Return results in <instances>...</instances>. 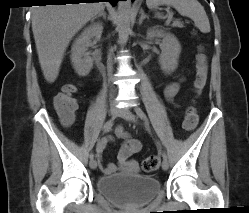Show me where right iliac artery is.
<instances>
[{
    "instance_id": "right-iliac-artery-1",
    "label": "right iliac artery",
    "mask_w": 249,
    "mask_h": 213,
    "mask_svg": "<svg viewBox=\"0 0 249 213\" xmlns=\"http://www.w3.org/2000/svg\"><path fill=\"white\" fill-rule=\"evenodd\" d=\"M114 124V119H110L108 120L105 124H104V127H103V130L104 132H109L111 129H112V126ZM94 158V154L91 153L90 154V159H93Z\"/></svg>"
}]
</instances>
